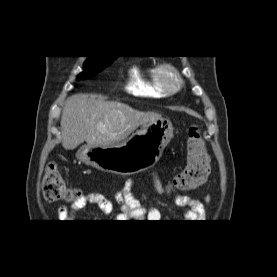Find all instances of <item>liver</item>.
<instances>
[{"mask_svg": "<svg viewBox=\"0 0 277 277\" xmlns=\"http://www.w3.org/2000/svg\"><path fill=\"white\" fill-rule=\"evenodd\" d=\"M159 119L158 113L141 112L97 95H73L62 110V146L73 150L84 141L93 147L118 144L139 126Z\"/></svg>", "mask_w": 277, "mask_h": 277, "instance_id": "liver-1", "label": "liver"}]
</instances>
